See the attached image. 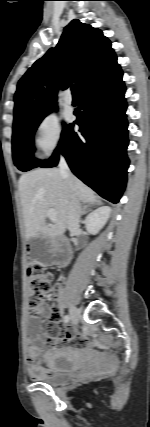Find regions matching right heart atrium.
<instances>
[{"instance_id": "right-heart-atrium-1", "label": "right heart atrium", "mask_w": 150, "mask_h": 427, "mask_svg": "<svg viewBox=\"0 0 150 427\" xmlns=\"http://www.w3.org/2000/svg\"><path fill=\"white\" fill-rule=\"evenodd\" d=\"M63 129L59 118L47 113L40 118L35 126L34 142L43 156H49L61 148Z\"/></svg>"}]
</instances>
